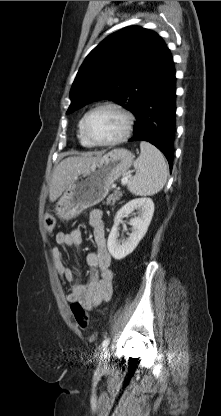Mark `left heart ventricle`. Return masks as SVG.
Returning a JSON list of instances; mask_svg holds the SVG:
<instances>
[{
    "label": "left heart ventricle",
    "instance_id": "left-heart-ventricle-1",
    "mask_svg": "<svg viewBox=\"0 0 221 416\" xmlns=\"http://www.w3.org/2000/svg\"><path fill=\"white\" fill-rule=\"evenodd\" d=\"M124 127V118L114 109L104 108L94 112L87 121V132L97 141H107L119 136Z\"/></svg>",
    "mask_w": 221,
    "mask_h": 416
}]
</instances>
